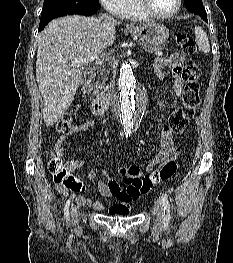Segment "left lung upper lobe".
Segmentation results:
<instances>
[{"label": "left lung upper lobe", "instance_id": "left-lung-upper-lobe-1", "mask_svg": "<svg viewBox=\"0 0 233 263\" xmlns=\"http://www.w3.org/2000/svg\"><path fill=\"white\" fill-rule=\"evenodd\" d=\"M187 9L199 16L206 14L202 0H184Z\"/></svg>", "mask_w": 233, "mask_h": 263}]
</instances>
